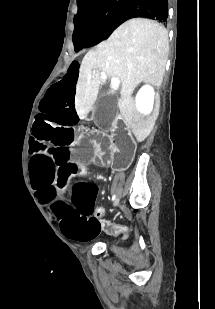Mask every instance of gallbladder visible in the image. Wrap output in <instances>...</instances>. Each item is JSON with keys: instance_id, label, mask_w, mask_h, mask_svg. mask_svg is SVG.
I'll return each instance as SVG.
<instances>
[{"instance_id": "bac80fb5", "label": "gallbladder", "mask_w": 215, "mask_h": 309, "mask_svg": "<svg viewBox=\"0 0 215 309\" xmlns=\"http://www.w3.org/2000/svg\"><path fill=\"white\" fill-rule=\"evenodd\" d=\"M97 113L95 120L99 125H109L118 110V100L115 92H106L104 96H100L97 100Z\"/></svg>"}]
</instances>
